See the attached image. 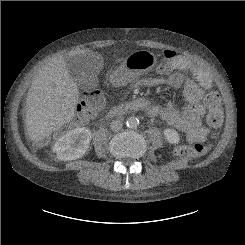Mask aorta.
Masks as SVG:
<instances>
[{"label": "aorta", "mask_w": 245, "mask_h": 245, "mask_svg": "<svg viewBox=\"0 0 245 245\" xmlns=\"http://www.w3.org/2000/svg\"><path fill=\"white\" fill-rule=\"evenodd\" d=\"M126 124H127V127L134 129L138 127L139 120L135 117H130L127 119Z\"/></svg>", "instance_id": "obj_1"}]
</instances>
